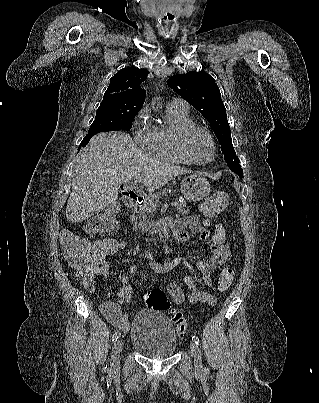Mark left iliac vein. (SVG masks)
I'll list each match as a JSON object with an SVG mask.
<instances>
[{
	"label": "left iliac vein",
	"mask_w": 319,
	"mask_h": 403,
	"mask_svg": "<svg viewBox=\"0 0 319 403\" xmlns=\"http://www.w3.org/2000/svg\"><path fill=\"white\" fill-rule=\"evenodd\" d=\"M190 350L194 357L195 368H196V370L200 371L202 369V357H201L200 348L195 342H191Z\"/></svg>",
	"instance_id": "left-iliac-vein-1"
}]
</instances>
